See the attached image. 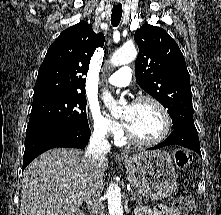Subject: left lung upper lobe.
Here are the masks:
<instances>
[{
	"label": "left lung upper lobe",
	"mask_w": 221,
	"mask_h": 215,
	"mask_svg": "<svg viewBox=\"0 0 221 215\" xmlns=\"http://www.w3.org/2000/svg\"><path fill=\"white\" fill-rule=\"evenodd\" d=\"M134 40L139 86L168 109L174 129L194 128L190 76L177 43L164 29L149 24L135 32Z\"/></svg>",
	"instance_id": "1"
}]
</instances>
